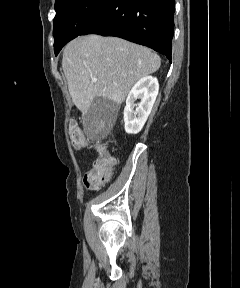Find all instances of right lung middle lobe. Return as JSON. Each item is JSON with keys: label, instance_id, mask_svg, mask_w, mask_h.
Instances as JSON below:
<instances>
[{"label": "right lung middle lobe", "instance_id": "obj_1", "mask_svg": "<svg viewBox=\"0 0 240 288\" xmlns=\"http://www.w3.org/2000/svg\"><path fill=\"white\" fill-rule=\"evenodd\" d=\"M112 0H56L53 35L55 55L95 19Z\"/></svg>", "mask_w": 240, "mask_h": 288}]
</instances>
